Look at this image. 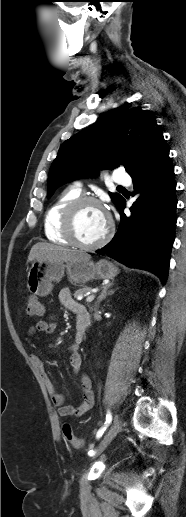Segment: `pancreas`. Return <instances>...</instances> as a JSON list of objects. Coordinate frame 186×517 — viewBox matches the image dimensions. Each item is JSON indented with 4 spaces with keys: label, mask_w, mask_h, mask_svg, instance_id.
Masks as SVG:
<instances>
[{
    "label": "pancreas",
    "mask_w": 186,
    "mask_h": 517,
    "mask_svg": "<svg viewBox=\"0 0 186 517\" xmlns=\"http://www.w3.org/2000/svg\"><path fill=\"white\" fill-rule=\"evenodd\" d=\"M91 288L90 287H83V288H80L78 290L75 291L74 293V297L77 298L78 296L80 295H83L85 293H87L88 291H90Z\"/></svg>",
    "instance_id": "1"
}]
</instances>
